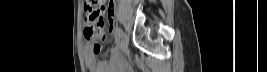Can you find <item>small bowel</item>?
<instances>
[{"instance_id": "small-bowel-1", "label": "small bowel", "mask_w": 267, "mask_h": 72, "mask_svg": "<svg viewBox=\"0 0 267 72\" xmlns=\"http://www.w3.org/2000/svg\"><path fill=\"white\" fill-rule=\"evenodd\" d=\"M109 21H111V17L114 13V5L111 3L107 9ZM116 57V54H114ZM85 63L88 69L91 72H113V67L109 61H97L96 60V52H94L93 47L90 44L86 45L85 53H84Z\"/></svg>"}]
</instances>
